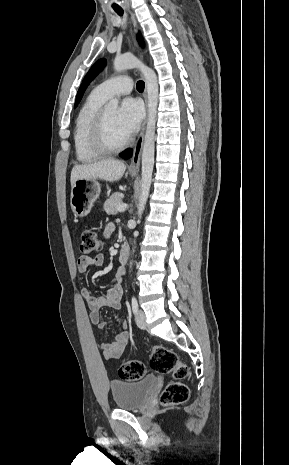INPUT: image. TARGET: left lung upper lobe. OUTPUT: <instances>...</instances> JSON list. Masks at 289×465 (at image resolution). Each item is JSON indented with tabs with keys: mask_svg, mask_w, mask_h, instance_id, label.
<instances>
[{
	"mask_svg": "<svg viewBox=\"0 0 289 465\" xmlns=\"http://www.w3.org/2000/svg\"><path fill=\"white\" fill-rule=\"evenodd\" d=\"M138 41H139L140 45L143 46V40H142L141 36H138ZM105 63H106L105 59H100L91 67V69L86 74V76H85V78H84V80H83V82H82V84H81V86H80V88L78 90L75 105H77L79 103V101L81 100L83 92L85 91L86 87L95 78V76L103 69V67L105 66Z\"/></svg>",
	"mask_w": 289,
	"mask_h": 465,
	"instance_id": "obj_1",
	"label": "left lung upper lobe"
}]
</instances>
